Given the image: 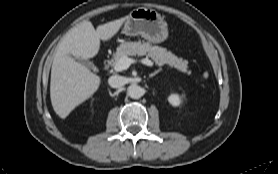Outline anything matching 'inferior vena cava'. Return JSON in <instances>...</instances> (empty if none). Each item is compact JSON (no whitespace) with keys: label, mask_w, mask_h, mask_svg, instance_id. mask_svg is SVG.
<instances>
[{"label":"inferior vena cava","mask_w":278,"mask_h":174,"mask_svg":"<svg viewBox=\"0 0 278 174\" xmlns=\"http://www.w3.org/2000/svg\"><path fill=\"white\" fill-rule=\"evenodd\" d=\"M108 83L113 88H120L123 85H125L126 81H125V77L114 75L109 78Z\"/></svg>","instance_id":"obj_1"}]
</instances>
